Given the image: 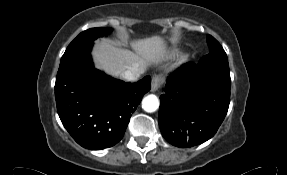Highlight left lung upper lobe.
Returning a JSON list of instances; mask_svg holds the SVG:
<instances>
[{"label":"left lung upper lobe","mask_w":287,"mask_h":175,"mask_svg":"<svg viewBox=\"0 0 287 175\" xmlns=\"http://www.w3.org/2000/svg\"><path fill=\"white\" fill-rule=\"evenodd\" d=\"M210 53L204 56L199 63L222 66L229 69L227 55L220 43L211 35L207 36Z\"/></svg>","instance_id":"5c2ea615"}]
</instances>
